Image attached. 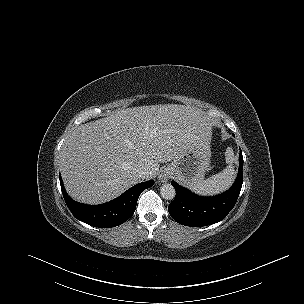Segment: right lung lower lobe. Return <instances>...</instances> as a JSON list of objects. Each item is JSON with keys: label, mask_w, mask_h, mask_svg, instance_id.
<instances>
[{"label": "right lung lower lobe", "mask_w": 304, "mask_h": 304, "mask_svg": "<svg viewBox=\"0 0 304 304\" xmlns=\"http://www.w3.org/2000/svg\"><path fill=\"white\" fill-rule=\"evenodd\" d=\"M153 184L154 181L150 180L134 185L118 198L105 204L85 205L68 196L60 177L62 194L71 213L78 220L100 228L115 227L127 221L135 211L139 195Z\"/></svg>", "instance_id": "98d812e1"}]
</instances>
